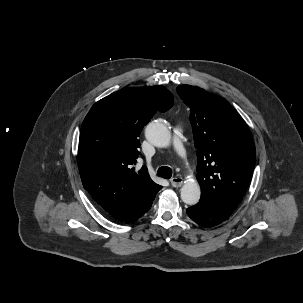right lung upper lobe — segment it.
I'll list each match as a JSON object with an SVG mask.
<instances>
[{
  "label": "right lung upper lobe",
  "instance_id": "obj_1",
  "mask_svg": "<svg viewBox=\"0 0 303 303\" xmlns=\"http://www.w3.org/2000/svg\"><path fill=\"white\" fill-rule=\"evenodd\" d=\"M172 105L173 96L163 86L130 87L96 102L83 121L78 150L83 186L117 221L140 214L162 188L145 166L137 173L132 166L143 126L157 110Z\"/></svg>",
  "mask_w": 303,
  "mask_h": 303
}]
</instances>
